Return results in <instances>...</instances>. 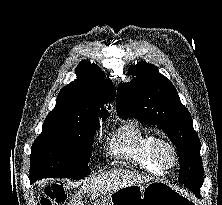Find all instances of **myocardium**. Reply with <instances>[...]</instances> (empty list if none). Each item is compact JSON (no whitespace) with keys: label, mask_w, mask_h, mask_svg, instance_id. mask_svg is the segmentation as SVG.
<instances>
[{"label":"myocardium","mask_w":222,"mask_h":205,"mask_svg":"<svg viewBox=\"0 0 222 205\" xmlns=\"http://www.w3.org/2000/svg\"><path fill=\"white\" fill-rule=\"evenodd\" d=\"M168 149L171 153L170 161H166L162 156V150ZM152 155L157 162V164L162 167L164 170L172 169L176 166L178 162V151L174 143L171 141L156 137L152 142Z\"/></svg>","instance_id":"1"}]
</instances>
